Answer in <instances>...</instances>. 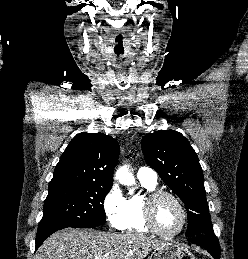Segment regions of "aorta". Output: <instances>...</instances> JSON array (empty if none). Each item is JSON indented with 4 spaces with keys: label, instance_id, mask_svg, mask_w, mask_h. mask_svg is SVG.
<instances>
[{
    "label": "aorta",
    "instance_id": "1",
    "mask_svg": "<svg viewBox=\"0 0 248 259\" xmlns=\"http://www.w3.org/2000/svg\"><path fill=\"white\" fill-rule=\"evenodd\" d=\"M116 179L123 185L133 186L135 185V178L129 172L127 165L121 166L116 172Z\"/></svg>",
    "mask_w": 248,
    "mask_h": 259
}]
</instances>
